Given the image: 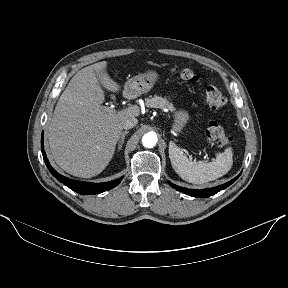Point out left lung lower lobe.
<instances>
[{
	"instance_id": "left-lung-lower-lobe-1",
	"label": "left lung lower lobe",
	"mask_w": 288,
	"mask_h": 288,
	"mask_svg": "<svg viewBox=\"0 0 288 288\" xmlns=\"http://www.w3.org/2000/svg\"><path fill=\"white\" fill-rule=\"evenodd\" d=\"M239 176H240V174L237 177H235L234 179L230 180L229 182H227L225 184H222V185H219V186L213 187V188L202 189V190H195V189H188V188L180 187V186H177V185H175V184H173V183H171L169 181H168V183L173 188H175L178 191L183 192L184 194H187L189 196L207 198V197H210L211 195H214V194L218 193L219 191L227 188L235 180H237Z\"/></svg>"
}]
</instances>
